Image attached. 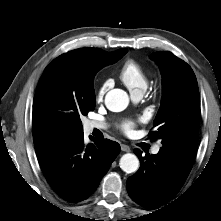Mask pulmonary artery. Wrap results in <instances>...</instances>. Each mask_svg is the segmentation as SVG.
<instances>
[{
	"label": "pulmonary artery",
	"instance_id": "pulmonary-artery-1",
	"mask_svg": "<svg viewBox=\"0 0 221 221\" xmlns=\"http://www.w3.org/2000/svg\"><path fill=\"white\" fill-rule=\"evenodd\" d=\"M143 94H144V91H135V92H131V98L134 100V101H138L140 100L142 97H143ZM105 128V125L101 124V123H98V122H95V121H88L86 124H85V130L87 132H91L95 129H103ZM160 145H156L153 149H152V153L153 154H157L160 150Z\"/></svg>",
	"mask_w": 221,
	"mask_h": 221
}]
</instances>
